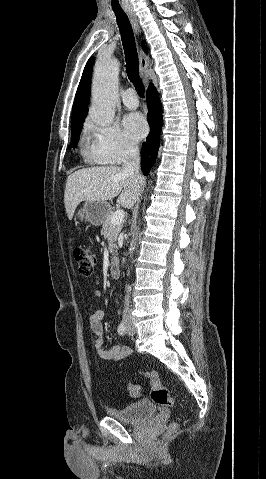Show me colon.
<instances>
[{
	"instance_id": "1",
	"label": "colon",
	"mask_w": 266,
	"mask_h": 479,
	"mask_svg": "<svg viewBox=\"0 0 266 479\" xmlns=\"http://www.w3.org/2000/svg\"><path fill=\"white\" fill-rule=\"evenodd\" d=\"M74 260L78 265V270L81 275L90 276L93 272L94 266L97 261V257L94 252L86 247H77L73 252ZM139 373L150 380L151 393L150 397L153 402L160 406L175 407L177 402L171 395L169 390L162 384L159 374L156 371H139ZM127 389L132 396H139L141 394V388L129 382ZM177 424L173 423L168 430V433H172L176 430Z\"/></svg>"
}]
</instances>
